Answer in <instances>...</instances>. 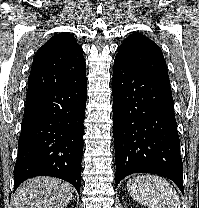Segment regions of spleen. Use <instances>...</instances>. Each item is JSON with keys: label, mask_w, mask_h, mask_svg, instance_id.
<instances>
[{"label": "spleen", "mask_w": 199, "mask_h": 208, "mask_svg": "<svg viewBox=\"0 0 199 208\" xmlns=\"http://www.w3.org/2000/svg\"><path fill=\"white\" fill-rule=\"evenodd\" d=\"M130 196L149 208H181L177 191L165 179L141 175L127 183Z\"/></svg>", "instance_id": "3e777b00"}]
</instances>
